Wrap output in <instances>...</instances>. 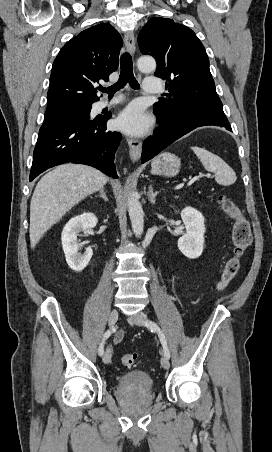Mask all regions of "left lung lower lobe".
Wrapping results in <instances>:
<instances>
[{
  "label": "left lung lower lobe",
  "mask_w": 272,
  "mask_h": 452,
  "mask_svg": "<svg viewBox=\"0 0 272 452\" xmlns=\"http://www.w3.org/2000/svg\"><path fill=\"white\" fill-rule=\"evenodd\" d=\"M155 114L161 125L144 142L141 155L142 163L152 159L174 141L198 127L213 125L232 131L228 119L222 113L195 115L190 118H172L160 115L157 112Z\"/></svg>",
  "instance_id": "obj_1"
}]
</instances>
